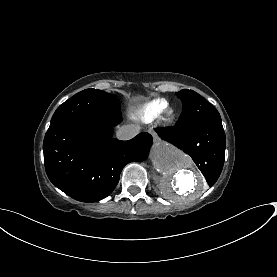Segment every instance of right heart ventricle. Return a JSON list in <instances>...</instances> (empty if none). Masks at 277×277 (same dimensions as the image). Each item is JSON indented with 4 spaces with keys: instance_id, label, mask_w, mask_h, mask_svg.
I'll use <instances>...</instances> for the list:
<instances>
[{
    "instance_id": "e07e8e85",
    "label": "right heart ventricle",
    "mask_w": 277,
    "mask_h": 277,
    "mask_svg": "<svg viewBox=\"0 0 277 277\" xmlns=\"http://www.w3.org/2000/svg\"><path fill=\"white\" fill-rule=\"evenodd\" d=\"M168 104V101L165 99L154 100L145 105L138 112L136 119L143 123H149L153 121L168 106Z\"/></svg>"
}]
</instances>
